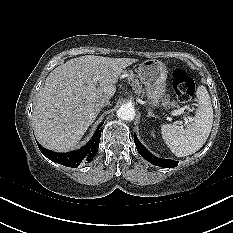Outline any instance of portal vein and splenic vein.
<instances>
[{
    "label": "portal vein and splenic vein",
    "mask_w": 233,
    "mask_h": 233,
    "mask_svg": "<svg viewBox=\"0 0 233 233\" xmlns=\"http://www.w3.org/2000/svg\"><path fill=\"white\" fill-rule=\"evenodd\" d=\"M183 113H184V108H180V109H178V110L172 111V112H171V115L177 116V115H181V114H183ZM188 119H189V121L192 120L191 117H189ZM188 119H187V121H188ZM178 124H179V125H182V124H183V121H178Z\"/></svg>",
    "instance_id": "portal-vein-and-splenic-vein-1"
}]
</instances>
